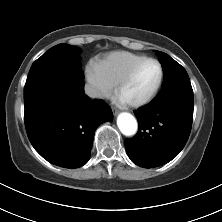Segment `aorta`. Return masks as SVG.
I'll use <instances>...</instances> for the list:
<instances>
[{"instance_id": "762f6f07", "label": "aorta", "mask_w": 222, "mask_h": 222, "mask_svg": "<svg viewBox=\"0 0 222 222\" xmlns=\"http://www.w3.org/2000/svg\"><path fill=\"white\" fill-rule=\"evenodd\" d=\"M117 125L121 133L125 136H132L136 134L138 124L133 115L127 112L119 114L117 118Z\"/></svg>"}]
</instances>
